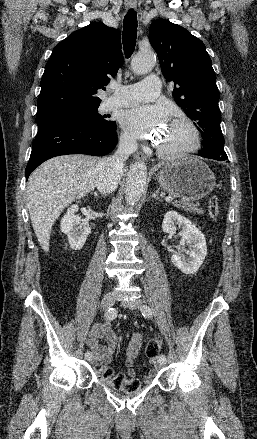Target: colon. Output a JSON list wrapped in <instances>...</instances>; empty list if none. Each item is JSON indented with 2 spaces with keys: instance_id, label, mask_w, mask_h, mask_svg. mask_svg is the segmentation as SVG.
Wrapping results in <instances>:
<instances>
[{
  "instance_id": "obj_1",
  "label": "colon",
  "mask_w": 257,
  "mask_h": 439,
  "mask_svg": "<svg viewBox=\"0 0 257 439\" xmlns=\"http://www.w3.org/2000/svg\"><path fill=\"white\" fill-rule=\"evenodd\" d=\"M219 213L218 199L213 196L209 200L208 204V215L214 220L217 218ZM162 346V339L160 336H154L147 342L146 345V355L149 358H156ZM97 373L101 378L116 390H120L125 393L135 392L139 387L140 383L137 379H129L122 373H115L110 367H100L96 366Z\"/></svg>"
}]
</instances>
